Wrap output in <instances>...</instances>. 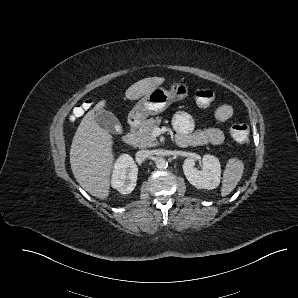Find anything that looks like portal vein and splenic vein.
<instances>
[{
	"label": "portal vein and splenic vein",
	"mask_w": 298,
	"mask_h": 298,
	"mask_svg": "<svg viewBox=\"0 0 298 298\" xmlns=\"http://www.w3.org/2000/svg\"><path fill=\"white\" fill-rule=\"evenodd\" d=\"M159 129H160L159 127H156V126L154 127V130H159Z\"/></svg>",
	"instance_id": "obj_1"
}]
</instances>
